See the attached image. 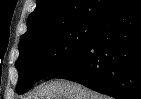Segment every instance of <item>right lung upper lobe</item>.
I'll use <instances>...</instances> for the list:
<instances>
[{
	"instance_id": "obj_1",
	"label": "right lung upper lobe",
	"mask_w": 141,
	"mask_h": 99,
	"mask_svg": "<svg viewBox=\"0 0 141 99\" xmlns=\"http://www.w3.org/2000/svg\"><path fill=\"white\" fill-rule=\"evenodd\" d=\"M126 0H37L22 42L76 22L99 21Z\"/></svg>"
}]
</instances>
